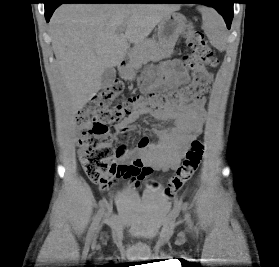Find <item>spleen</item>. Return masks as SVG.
Wrapping results in <instances>:
<instances>
[{
    "label": "spleen",
    "instance_id": "obj_1",
    "mask_svg": "<svg viewBox=\"0 0 279 267\" xmlns=\"http://www.w3.org/2000/svg\"><path fill=\"white\" fill-rule=\"evenodd\" d=\"M198 10L202 14L203 29L210 43L217 49H223L227 35L222 18L212 8L202 6Z\"/></svg>",
    "mask_w": 279,
    "mask_h": 267
}]
</instances>
